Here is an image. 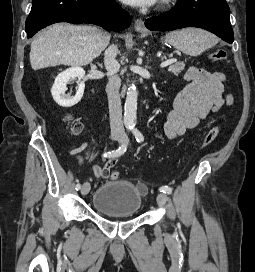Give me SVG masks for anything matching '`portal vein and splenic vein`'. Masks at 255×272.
Returning <instances> with one entry per match:
<instances>
[{"label": "portal vein and splenic vein", "mask_w": 255, "mask_h": 272, "mask_svg": "<svg viewBox=\"0 0 255 272\" xmlns=\"http://www.w3.org/2000/svg\"><path fill=\"white\" fill-rule=\"evenodd\" d=\"M174 62H176V59H168V60L162 62L160 66L161 67H166V66H168V65H170V64H172Z\"/></svg>", "instance_id": "obj_1"}]
</instances>
